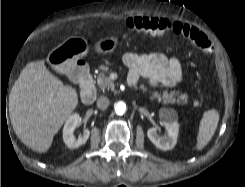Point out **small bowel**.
<instances>
[{
	"label": "small bowel",
	"instance_id": "c3829d8e",
	"mask_svg": "<svg viewBox=\"0 0 245 187\" xmlns=\"http://www.w3.org/2000/svg\"><path fill=\"white\" fill-rule=\"evenodd\" d=\"M123 62L129 69V82L132 85L145 78L154 88L173 87L182 78L179 61L160 53L146 55L127 53L123 57Z\"/></svg>",
	"mask_w": 245,
	"mask_h": 187
}]
</instances>
